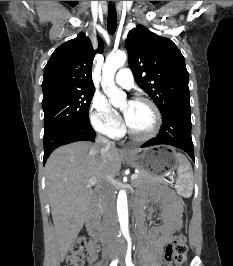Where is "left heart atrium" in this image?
Here are the masks:
<instances>
[{"mask_svg":"<svg viewBox=\"0 0 233 266\" xmlns=\"http://www.w3.org/2000/svg\"><path fill=\"white\" fill-rule=\"evenodd\" d=\"M124 116H125V119H126V121H127V123H128V121H129V118H130V115H129V113H124Z\"/></svg>","mask_w":233,"mask_h":266,"instance_id":"obj_1","label":"left heart atrium"}]
</instances>
